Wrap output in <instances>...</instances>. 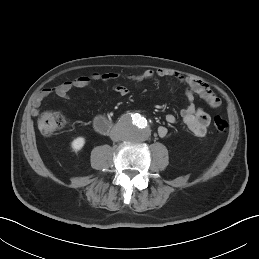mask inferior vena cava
Listing matches in <instances>:
<instances>
[{
    "label": "inferior vena cava",
    "instance_id": "1",
    "mask_svg": "<svg viewBox=\"0 0 259 259\" xmlns=\"http://www.w3.org/2000/svg\"><path fill=\"white\" fill-rule=\"evenodd\" d=\"M110 138L113 141H118V140H121L122 136H121V134L118 131H112L111 135H110Z\"/></svg>",
    "mask_w": 259,
    "mask_h": 259
}]
</instances>
